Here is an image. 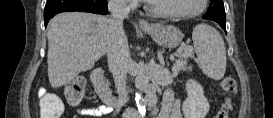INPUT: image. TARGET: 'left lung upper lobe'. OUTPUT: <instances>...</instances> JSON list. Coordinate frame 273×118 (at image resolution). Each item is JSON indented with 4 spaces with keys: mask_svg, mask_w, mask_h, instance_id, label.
<instances>
[{
    "mask_svg": "<svg viewBox=\"0 0 273 118\" xmlns=\"http://www.w3.org/2000/svg\"><path fill=\"white\" fill-rule=\"evenodd\" d=\"M203 18L215 22H226L223 0H210V6Z\"/></svg>",
    "mask_w": 273,
    "mask_h": 118,
    "instance_id": "left-lung-upper-lobe-1",
    "label": "left lung upper lobe"
}]
</instances>
